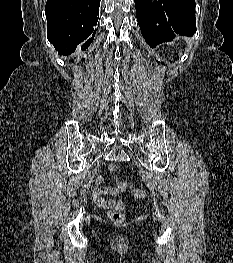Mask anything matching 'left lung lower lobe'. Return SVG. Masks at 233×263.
<instances>
[{
	"mask_svg": "<svg viewBox=\"0 0 233 263\" xmlns=\"http://www.w3.org/2000/svg\"><path fill=\"white\" fill-rule=\"evenodd\" d=\"M137 21L150 47L171 41L175 33L196 32L195 0H134Z\"/></svg>",
	"mask_w": 233,
	"mask_h": 263,
	"instance_id": "left-lung-lower-lobe-1",
	"label": "left lung lower lobe"
}]
</instances>
